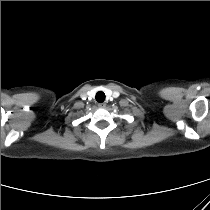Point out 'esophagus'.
<instances>
[{
  "mask_svg": "<svg viewBox=\"0 0 210 210\" xmlns=\"http://www.w3.org/2000/svg\"><path fill=\"white\" fill-rule=\"evenodd\" d=\"M98 107H99V108H105V107H106V104H105V103H99V104H98Z\"/></svg>",
  "mask_w": 210,
  "mask_h": 210,
  "instance_id": "1",
  "label": "esophagus"
}]
</instances>
